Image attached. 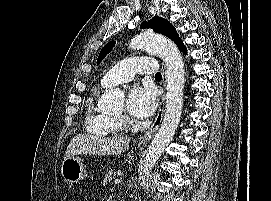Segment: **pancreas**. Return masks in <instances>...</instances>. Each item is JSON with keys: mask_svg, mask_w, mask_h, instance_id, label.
<instances>
[{"mask_svg": "<svg viewBox=\"0 0 271 201\" xmlns=\"http://www.w3.org/2000/svg\"><path fill=\"white\" fill-rule=\"evenodd\" d=\"M116 177V172H114L113 170H110L106 176L104 177L103 179V183H108L110 182L111 180L115 179Z\"/></svg>", "mask_w": 271, "mask_h": 201, "instance_id": "1", "label": "pancreas"}]
</instances>
